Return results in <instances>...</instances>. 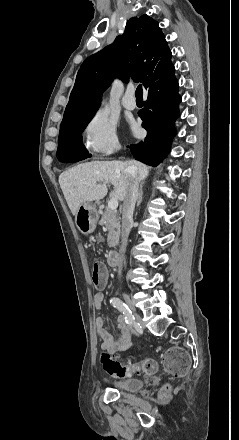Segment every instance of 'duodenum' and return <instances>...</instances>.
<instances>
[{"label": "duodenum", "instance_id": "obj_1", "mask_svg": "<svg viewBox=\"0 0 239 440\" xmlns=\"http://www.w3.org/2000/svg\"><path fill=\"white\" fill-rule=\"evenodd\" d=\"M107 261L111 267H118L122 262L121 255L117 251H111L108 254Z\"/></svg>", "mask_w": 239, "mask_h": 440}]
</instances>
